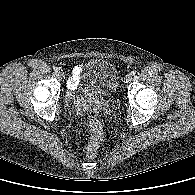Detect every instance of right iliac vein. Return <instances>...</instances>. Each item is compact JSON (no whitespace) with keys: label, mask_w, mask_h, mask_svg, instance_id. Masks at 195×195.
<instances>
[{"label":"right iliac vein","mask_w":195,"mask_h":195,"mask_svg":"<svg viewBox=\"0 0 195 195\" xmlns=\"http://www.w3.org/2000/svg\"><path fill=\"white\" fill-rule=\"evenodd\" d=\"M58 77L62 80L65 78V75L63 72H58Z\"/></svg>","instance_id":"1"}]
</instances>
